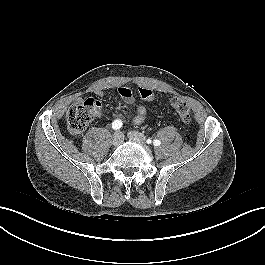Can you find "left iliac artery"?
I'll use <instances>...</instances> for the list:
<instances>
[{"instance_id": "obj_1", "label": "left iliac artery", "mask_w": 265, "mask_h": 265, "mask_svg": "<svg viewBox=\"0 0 265 265\" xmlns=\"http://www.w3.org/2000/svg\"><path fill=\"white\" fill-rule=\"evenodd\" d=\"M147 143L150 144V143H151V140L148 139V140H147ZM153 144H154V146H159V145L161 144V142H160V140H157V139H156V140L153 141Z\"/></svg>"}]
</instances>
